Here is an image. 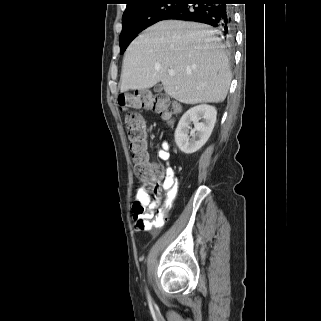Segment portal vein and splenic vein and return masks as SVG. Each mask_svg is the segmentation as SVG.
I'll return each instance as SVG.
<instances>
[{"label":"portal vein and splenic vein","mask_w":321,"mask_h":321,"mask_svg":"<svg viewBox=\"0 0 321 321\" xmlns=\"http://www.w3.org/2000/svg\"><path fill=\"white\" fill-rule=\"evenodd\" d=\"M169 75H170V76H174V75H175V72H174V71H169Z\"/></svg>","instance_id":"portal-vein-and-splenic-vein-1"}]
</instances>
